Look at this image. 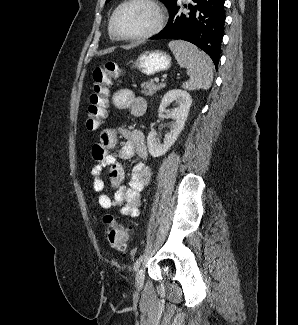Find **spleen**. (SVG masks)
<instances>
[{
  "instance_id": "1",
  "label": "spleen",
  "mask_w": 298,
  "mask_h": 325,
  "mask_svg": "<svg viewBox=\"0 0 298 325\" xmlns=\"http://www.w3.org/2000/svg\"><path fill=\"white\" fill-rule=\"evenodd\" d=\"M178 64L187 68L189 80L183 82L186 90H199V88H210L214 78L213 62L198 46L187 42V40H170L168 44Z\"/></svg>"
}]
</instances>
